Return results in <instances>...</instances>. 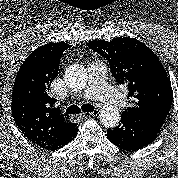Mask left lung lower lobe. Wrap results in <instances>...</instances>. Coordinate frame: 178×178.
Masks as SVG:
<instances>
[{
	"label": "left lung lower lobe",
	"mask_w": 178,
	"mask_h": 178,
	"mask_svg": "<svg viewBox=\"0 0 178 178\" xmlns=\"http://www.w3.org/2000/svg\"><path fill=\"white\" fill-rule=\"evenodd\" d=\"M164 122L156 117L122 114L118 127L107 130V138L121 149L136 151L156 139Z\"/></svg>",
	"instance_id": "1"
}]
</instances>
